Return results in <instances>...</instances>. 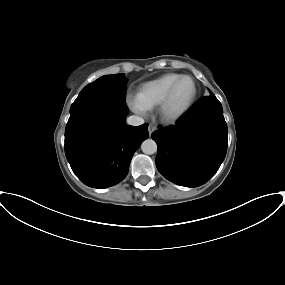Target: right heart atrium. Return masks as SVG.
<instances>
[{"label": "right heart atrium", "mask_w": 285, "mask_h": 285, "mask_svg": "<svg viewBox=\"0 0 285 285\" xmlns=\"http://www.w3.org/2000/svg\"><path fill=\"white\" fill-rule=\"evenodd\" d=\"M131 107H132L133 110H135L137 112L143 111V109H141L136 103H132Z\"/></svg>", "instance_id": "d8ad5b80"}]
</instances>
